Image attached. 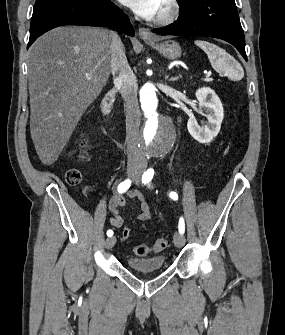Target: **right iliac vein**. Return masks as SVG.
<instances>
[{
	"label": "right iliac vein",
	"mask_w": 285,
	"mask_h": 335,
	"mask_svg": "<svg viewBox=\"0 0 285 335\" xmlns=\"http://www.w3.org/2000/svg\"><path fill=\"white\" fill-rule=\"evenodd\" d=\"M130 175H133L134 173L133 172H129ZM116 243V237L113 236V237H109L107 238L106 240V248L109 250L111 249Z\"/></svg>",
	"instance_id": "right-iliac-vein-1"
}]
</instances>
